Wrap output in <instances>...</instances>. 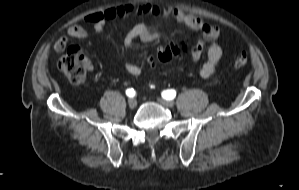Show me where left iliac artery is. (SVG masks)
<instances>
[{"label": "left iliac artery", "mask_w": 299, "mask_h": 190, "mask_svg": "<svg viewBox=\"0 0 299 190\" xmlns=\"http://www.w3.org/2000/svg\"><path fill=\"white\" fill-rule=\"evenodd\" d=\"M176 96V91L171 89V90H164L162 92V97L166 100H172Z\"/></svg>", "instance_id": "44dca946"}]
</instances>
